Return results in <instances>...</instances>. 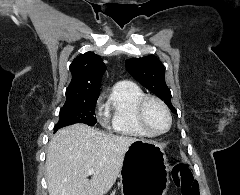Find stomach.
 I'll use <instances>...</instances> for the list:
<instances>
[{
  "label": "stomach",
  "mask_w": 240,
  "mask_h": 195,
  "mask_svg": "<svg viewBox=\"0 0 240 195\" xmlns=\"http://www.w3.org/2000/svg\"><path fill=\"white\" fill-rule=\"evenodd\" d=\"M168 171L161 143L153 139L133 141L125 153L120 171L121 195H166Z\"/></svg>",
  "instance_id": "1"
}]
</instances>
